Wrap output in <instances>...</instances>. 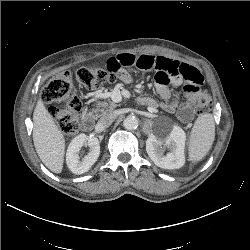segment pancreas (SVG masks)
Here are the masks:
<instances>
[{"label": "pancreas", "instance_id": "cf45deb5", "mask_svg": "<svg viewBox=\"0 0 250 250\" xmlns=\"http://www.w3.org/2000/svg\"><path fill=\"white\" fill-rule=\"evenodd\" d=\"M118 105L115 104L114 102H98L96 105V108H94L92 110V112L94 113V115L96 117H99L101 115H103L106 111H111L114 108H116Z\"/></svg>", "mask_w": 250, "mask_h": 250}]
</instances>
